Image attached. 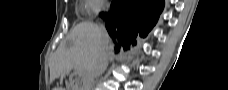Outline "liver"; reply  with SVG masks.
Segmentation results:
<instances>
[{
	"mask_svg": "<svg viewBox=\"0 0 228 90\" xmlns=\"http://www.w3.org/2000/svg\"><path fill=\"white\" fill-rule=\"evenodd\" d=\"M68 39L74 42L70 48L62 43L50 61V83L60 76L70 73L73 68H81L87 79L88 72L96 61L102 47L101 28L90 21L77 24L71 31ZM110 39L107 38V47ZM53 90H65L57 87Z\"/></svg>",
	"mask_w": 228,
	"mask_h": 90,
	"instance_id": "liver-1",
	"label": "liver"
}]
</instances>
